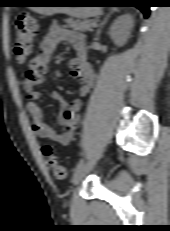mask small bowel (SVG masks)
Returning <instances> with one entry per match:
<instances>
[{
  "instance_id": "1",
  "label": "small bowel",
  "mask_w": 170,
  "mask_h": 231,
  "mask_svg": "<svg viewBox=\"0 0 170 231\" xmlns=\"http://www.w3.org/2000/svg\"><path fill=\"white\" fill-rule=\"evenodd\" d=\"M62 42H69L77 52V58L69 62V70L72 78L80 84L79 93L84 97L90 91L94 76L86 61V47L84 36L76 31L53 25L47 35L40 43L39 52L31 59L26 78L23 82V89L27 98V110L32 118V131L41 138L49 139L59 145L66 146L73 139L74 131L77 128L80 117L81 101L76 100L70 104L62 103L58 115V123L63 127L61 132L45 124L43 113L38 105L40 92L36 87L44 82V75L52 55ZM52 98L59 99L57 92L51 94Z\"/></svg>"
}]
</instances>
